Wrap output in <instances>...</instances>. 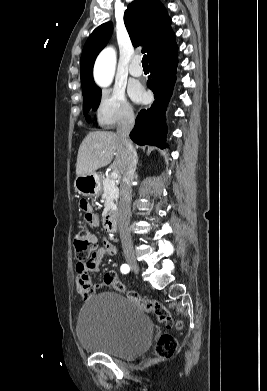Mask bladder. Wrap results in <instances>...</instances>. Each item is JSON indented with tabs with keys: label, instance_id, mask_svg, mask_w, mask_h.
I'll use <instances>...</instances> for the list:
<instances>
[{
	"label": "bladder",
	"instance_id": "obj_1",
	"mask_svg": "<svg viewBox=\"0 0 267 391\" xmlns=\"http://www.w3.org/2000/svg\"><path fill=\"white\" fill-rule=\"evenodd\" d=\"M76 333L89 352L132 358L149 348L153 324L134 301L117 292H105L82 306Z\"/></svg>",
	"mask_w": 267,
	"mask_h": 391
}]
</instances>
